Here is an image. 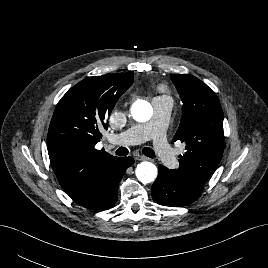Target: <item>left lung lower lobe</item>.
<instances>
[{
	"label": "left lung lower lobe",
	"mask_w": 268,
	"mask_h": 268,
	"mask_svg": "<svg viewBox=\"0 0 268 268\" xmlns=\"http://www.w3.org/2000/svg\"><path fill=\"white\" fill-rule=\"evenodd\" d=\"M202 192L185 184L170 169L159 165L158 177L151 194L153 200L160 205L180 207L197 200Z\"/></svg>",
	"instance_id": "0a47b994"
}]
</instances>
